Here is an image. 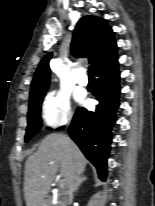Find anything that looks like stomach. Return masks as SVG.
Listing matches in <instances>:
<instances>
[{
	"label": "stomach",
	"instance_id": "1",
	"mask_svg": "<svg viewBox=\"0 0 155 206\" xmlns=\"http://www.w3.org/2000/svg\"><path fill=\"white\" fill-rule=\"evenodd\" d=\"M39 206H49V204L44 200Z\"/></svg>",
	"mask_w": 155,
	"mask_h": 206
}]
</instances>
